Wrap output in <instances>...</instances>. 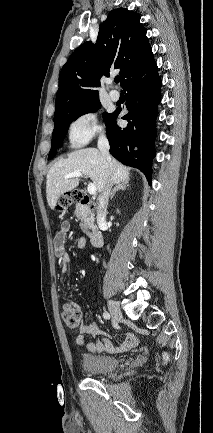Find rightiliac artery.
<instances>
[{
  "label": "right iliac artery",
  "mask_w": 213,
  "mask_h": 433,
  "mask_svg": "<svg viewBox=\"0 0 213 433\" xmlns=\"http://www.w3.org/2000/svg\"><path fill=\"white\" fill-rule=\"evenodd\" d=\"M110 317H111V316H110V314H109L108 312H104V313H103V318H104V319H110Z\"/></svg>",
  "instance_id": "right-iliac-artery-1"
}]
</instances>
